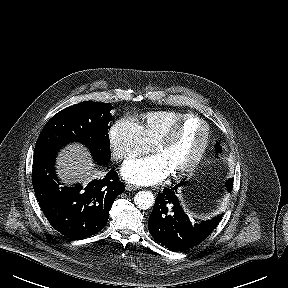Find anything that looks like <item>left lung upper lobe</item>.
Listing matches in <instances>:
<instances>
[{"label": "left lung upper lobe", "instance_id": "obj_1", "mask_svg": "<svg viewBox=\"0 0 288 288\" xmlns=\"http://www.w3.org/2000/svg\"><path fill=\"white\" fill-rule=\"evenodd\" d=\"M216 150L218 152H222V148L217 144L216 145ZM226 187L232 189L233 188V178H229L227 183H226Z\"/></svg>", "mask_w": 288, "mask_h": 288}]
</instances>
